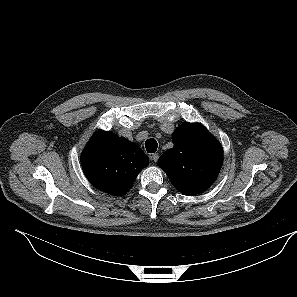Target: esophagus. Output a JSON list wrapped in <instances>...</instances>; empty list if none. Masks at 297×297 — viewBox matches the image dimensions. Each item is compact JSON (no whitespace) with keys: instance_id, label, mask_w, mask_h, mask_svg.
I'll return each mask as SVG.
<instances>
[{"instance_id":"obj_1","label":"esophagus","mask_w":297,"mask_h":297,"mask_svg":"<svg viewBox=\"0 0 297 297\" xmlns=\"http://www.w3.org/2000/svg\"><path fill=\"white\" fill-rule=\"evenodd\" d=\"M158 158H159L158 153H155V154H153V155L151 156V159H152V161H154V162H157Z\"/></svg>"}]
</instances>
